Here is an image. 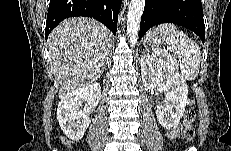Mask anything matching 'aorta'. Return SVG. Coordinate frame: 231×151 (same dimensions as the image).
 Instances as JSON below:
<instances>
[{
  "label": "aorta",
  "instance_id": "obj_1",
  "mask_svg": "<svg viewBox=\"0 0 231 151\" xmlns=\"http://www.w3.org/2000/svg\"><path fill=\"white\" fill-rule=\"evenodd\" d=\"M144 6L145 0H131L129 4L127 14V34L131 46H135L137 42Z\"/></svg>",
  "mask_w": 231,
  "mask_h": 151
}]
</instances>
